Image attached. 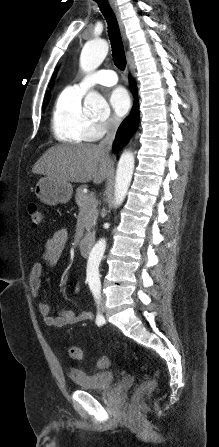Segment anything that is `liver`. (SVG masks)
Masks as SVG:
<instances>
[{
  "instance_id": "6515ba94",
  "label": "liver",
  "mask_w": 219,
  "mask_h": 447,
  "mask_svg": "<svg viewBox=\"0 0 219 447\" xmlns=\"http://www.w3.org/2000/svg\"><path fill=\"white\" fill-rule=\"evenodd\" d=\"M35 174L53 176L61 181L102 183L112 173V161L95 144H63L48 149L32 168Z\"/></svg>"
}]
</instances>
